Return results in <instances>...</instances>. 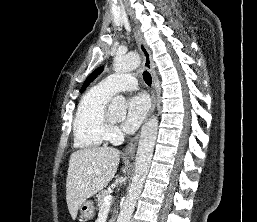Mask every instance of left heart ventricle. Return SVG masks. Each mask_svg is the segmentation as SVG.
<instances>
[{"label": "left heart ventricle", "mask_w": 257, "mask_h": 222, "mask_svg": "<svg viewBox=\"0 0 257 222\" xmlns=\"http://www.w3.org/2000/svg\"><path fill=\"white\" fill-rule=\"evenodd\" d=\"M110 117L113 122H118L121 119V115H118L116 113H110Z\"/></svg>", "instance_id": "obj_1"}]
</instances>
